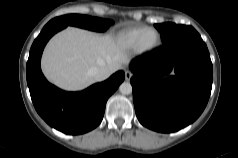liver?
<instances>
[{"mask_svg":"<svg viewBox=\"0 0 238 158\" xmlns=\"http://www.w3.org/2000/svg\"><path fill=\"white\" fill-rule=\"evenodd\" d=\"M120 42L107 35L70 27L48 43L42 68L54 84L68 90H79L95 82L89 75L93 67H106L110 74L127 62Z\"/></svg>","mask_w":238,"mask_h":158,"instance_id":"obj_1","label":"liver"}]
</instances>
